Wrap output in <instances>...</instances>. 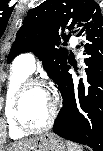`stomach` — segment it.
<instances>
[{"label": "stomach", "mask_w": 103, "mask_h": 151, "mask_svg": "<svg viewBox=\"0 0 103 151\" xmlns=\"http://www.w3.org/2000/svg\"><path fill=\"white\" fill-rule=\"evenodd\" d=\"M27 151H66V147L58 137L45 134L38 137Z\"/></svg>", "instance_id": "0dacf381"}]
</instances>
